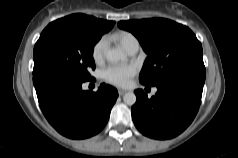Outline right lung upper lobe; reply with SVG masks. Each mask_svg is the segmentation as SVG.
<instances>
[{"instance_id":"cb5924a9","label":"right lung upper lobe","mask_w":238,"mask_h":158,"mask_svg":"<svg viewBox=\"0 0 238 158\" xmlns=\"http://www.w3.org/2000/svg\"><path fill=\"white\" fill-rule=\"evenodd\" d=\"M65 19H74V20L85 22L95 27L96 29L103 31L104 33L108 32L114 26V23H115L113 21L97 19L95 17L87 16L84 14H73V15L65 17Z\"/></svg>"}]
</instances>
